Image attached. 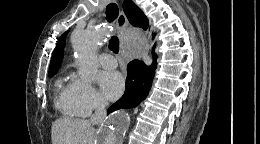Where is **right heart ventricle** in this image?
Instances as JSON below:
<instances>
[{
  "label": "right heart ventricle",
  "mask_w": 260,
  "mask_h": 144,
  "mask_svg": "<svg viewBox=\"0 0 260 144\" xmlns=\"http://www.w3.org/2000/svg\"><path fill=\"white\" fill-rule=\"evenodd\" d=\"M57 95L55 104L56 107L65 115L70 117H79L81 114L78 112L71 94V83L64 84L60 78L56 81Z\"/></svg>",
  "instance_id": "right-heart-ventricle-1"
}]
</instances>
